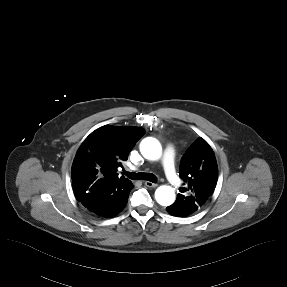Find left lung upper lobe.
<instances>
[{
  "label": "left lung upper lobe",
  "mask_w": 287,
  "mask_h": 287,
  "mask_svg": "<svg viewBox=\"0 0 287 287\" xmlns=\"http://www.w3.org/2000/svg\"><path fill=\"white\" fill-rule=\"evenodd\" d=\"M179 176L184 187L179 189L175 203L195 212L213 193L218 167L212 148L201 137L187 149L180 163Z\"/></svg>",
  "instance_id": "1"
}]
</instances>
